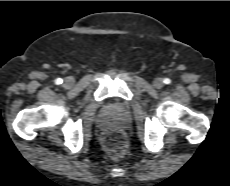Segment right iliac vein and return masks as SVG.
<instances>
[{
	"label": "right iliac vein",
	"mask_w": 230,
	"mask_h": 186,
	"mask_svg": "<svg viewBox=\"0 0 230 186\" xmlns=\"http://www.w3.org/2000/svg\"><path fill=\"white\" fill-rule=\"evenodd\" d=\"M73 84H74V79H73V77H67V78L64 79V85H65L66 87H70V86H72Z\"/></svg>",
	"instance_id": "1"
}]
</instances>
